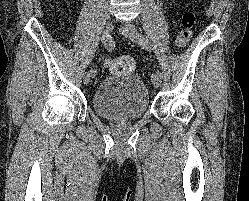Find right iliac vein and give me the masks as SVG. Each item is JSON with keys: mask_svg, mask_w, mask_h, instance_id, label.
I'll return each mask as SVG.
<instances>
[{"mask_svg": "<svg viewBox=\"0 0 249 201\" xmlns=\"http://www.w3.org/2000/svg\"><path fill=\"white\" fill-rule=\"evenodd\" d=\"M113 29V24L110 20H108L106 23H105V26L103 28V35H107L109 34ZM90 78H91V74L89 71H87L84 76H83V82L84 84H88L89 81H90Z\"/></svg>", "mask_w": 249, "mask_h": 201, "instance_id": "63e3f726", "label": "right iliac vein"}]
</instances>
